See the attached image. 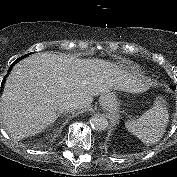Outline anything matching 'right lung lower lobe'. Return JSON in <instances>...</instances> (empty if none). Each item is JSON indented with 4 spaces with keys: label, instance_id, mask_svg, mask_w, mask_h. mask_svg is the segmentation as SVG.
<instances>
[{
    "label": "right lung lower lobe",
    "instance_id": "obj_1",
    "mask_svg": "<svg viewBox=\"0 0 177 177\" xmlns=\"http://www.w3.org/2000/svg\"><path fill=\"white\" fill-rule=\"evenodd\" d=\"M25 56H22L20 58H18L11 66L9 69H11L13 67V65H15L19 60L23 59Z\"/></svg>",
    "mask_w": 177,
    "mask_h": 177
}]
</instances>
